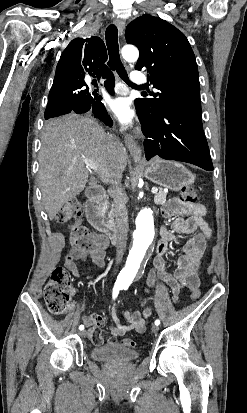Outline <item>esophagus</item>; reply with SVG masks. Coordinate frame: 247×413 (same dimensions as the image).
<instances>
[{
	"mask_svg": "<svg viewBox=\"0 0 247 413\" xmlns=\"http://www.w3.org/2000/svg\"><path fill=\"white\" fill-rule=\"evenodd\" d=\"M115 25L117 26L119 33L122 34L125 22L124 20L117 19L115 20ZM124 143L126 147L130 150L131 155L133 156L134 160L141 158V147L137 144L136 141L131 139L129 135L124 137Z\"/></svg>",
	"mask_w": 247,
	"mask_h": 413,
	"instance_id": "1",
	"label": "esophagus"
}]
</instances>
